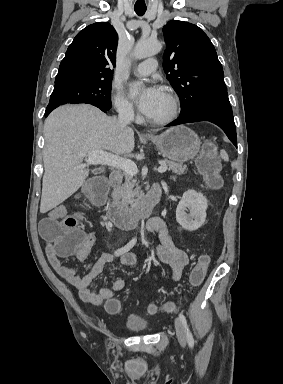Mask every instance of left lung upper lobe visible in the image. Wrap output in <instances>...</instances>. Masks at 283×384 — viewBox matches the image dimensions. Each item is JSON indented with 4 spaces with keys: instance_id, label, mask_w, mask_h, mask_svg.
Returning a JSON list of instances; mask_svg holds the SVG:
<instances>
[{
    "instance_id": "1",
    "label": "left lung upper lobe",
    "mask_w": 283,
    "mask_h": 384,
    "mask_svg": "<svg viewBox=\"0 0 283 384\" xmlns=\"http://www.w3.org/2000/svg\"><path fill=\"white\" fill-rule=\"evenodd\" d=\"M163 34L167 44L163 67L180 97V116L204 107L230 105L222 65L203 30L172 20L163 27Z\"/></svg>"
}]
</instances>
